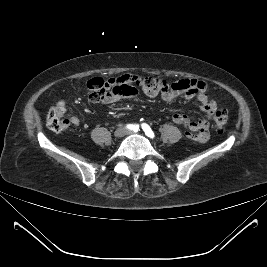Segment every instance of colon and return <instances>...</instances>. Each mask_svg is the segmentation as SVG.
Returning a JSON list of instances; mask_svg holds the SVG:
<instances>
[{"mask_svg":"<svg viewBox=\"0 0 267 267\" xmlns=\"http://www.w3.org/2000/svg\"><path fill=\"white\" fill-rule=\"evenodd\" d=\"M121 87L124 93L128 95L138 94L140 90L145 93L160 92L165 89H179V82L168 83L164 79L152 76H126L121 80ZM214 121L218 130H222L227 122V113L225 110H216ZM47 126L54 132L62 131L65 126L63 121L55 114L54 109H50L47 115Z\"/></svg>","mask_w":267,"mask_h":267,"instance_id":"colon-1","label":"colon"}]
</instances>
